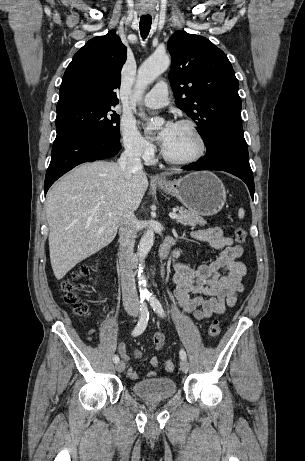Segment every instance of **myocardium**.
Here are the masks:
<instances>
[{
	"mask_svg": "<svg viewBox=\"0 0 305 461\" xmlns=\"http://www.w3.org/2000/svg\"><path fill=\"white\" fill-rule=\"evenodd\" d=\"M176 125L186 127L187 129L190 130V132L193 134V136L195 137V139H196V141L198 143V149L195 152V154H193L192 156L187 157V158H173V157L169 156L164 151V149H162V151H161L162 157L166 162H168L169 164H173V165H182L183 166V165L194 164L197 161H199L205 155V152H206L205 138L202 135V133L200 132L197 125L194 122L190 121V120H180V121H178L176 123Z\"/></svg>",
	"mask_w": 305,
	"mask_h": 461,
	"instance_id": "f54148a6",
	"label": "myocardium"
}]
</instances>
